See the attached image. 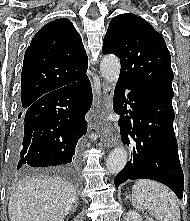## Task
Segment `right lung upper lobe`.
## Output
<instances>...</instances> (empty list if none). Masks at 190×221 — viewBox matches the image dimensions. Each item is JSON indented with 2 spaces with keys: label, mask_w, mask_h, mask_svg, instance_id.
<instances>
[{
  "label": "right lung upper lobe",
  "mask_w": 190,
  "mask_h": 221,
  "mask_svg": "<svg viewBox=\"0 0 190 221\" xmlns=\"http://www.w3.org/2000/svg\"><path fill=\"white\" fill-rule=\"evenodd\" d=\"M88 57L81 37L66 18L42 27L25 52L21 74V107L86 76Z\"/></svg>",
  "instance_id": "right-lung-upper-lobe-1"
}]
</instances>
